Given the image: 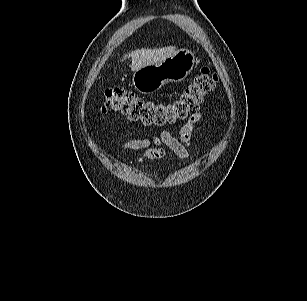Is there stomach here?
<instances>
[{
	"label": "stomach",
	"instance_id": "obj_1",
	"mask_svg": "<svg viewBox=\"0 0 307 301\" xmlns=\"http://www.w3.org/2000/svg\"><path fill=\"white\" fill-rule=\"evenodd\" d=\"M197 63L194 53L188 49L174 51L167 59L135 71L132 77L134 88L144 94L158 91L169 82L184 80Z\"/></svg>",
	"mask_w": 307,
	"mask_h": 301
}]
</instances>
